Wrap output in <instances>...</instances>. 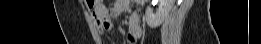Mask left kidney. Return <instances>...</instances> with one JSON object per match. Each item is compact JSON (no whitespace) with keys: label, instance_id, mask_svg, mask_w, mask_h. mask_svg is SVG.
I'll return each mask as SVG.
<instances>
[{"label":"left kidney","instance_id":"left-kidney-1","mask_svg":"<svg viewBox=\"0 0 261 44\" xmlns=\"http://www.w3.org/2000/svg\"><path fill=\"white\" fill-rule=\"evenodd\" d=\"M158 1L159 6L156 11H153L151 7H147L146 9V22L150 28L160 26L164 19L168 16L174 4V0H153L152 4Z\"/></svg>","mask_w":261,"mask_h":44}]
</instances>
